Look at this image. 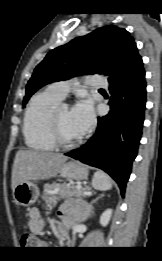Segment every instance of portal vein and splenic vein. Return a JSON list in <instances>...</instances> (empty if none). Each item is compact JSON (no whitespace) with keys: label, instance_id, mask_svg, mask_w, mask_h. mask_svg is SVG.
I'll return each instance as SVG.
<instances>
[{"label":"portal vein and splenic vein","instance_id":"1","mask_svg":"<svg viewBox=\"0 0 162 261\" xmlns=\"http://www.w3.org/2000/svg\"><path fill=\"white\" fill-rule=\"evenodd\" d=\"M76 188H77V189H81L82 186H81V185H77Z\"/></svg>","mask_w":162,"mask_h":261}]
</instances>
